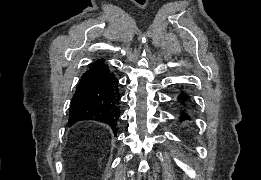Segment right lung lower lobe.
<instances>
[{
	"mask_svg": "<svg viewBox=\"0 0 261 180\" xmlns=\"http://www.w3.org/2000/svg\"><path fill=\"white\" fill-rule=\"evenodd\" d=\"M119 103L114 73L104 61L93 63L77 84L70 104L69 125L94 120L109 124L115 133L120 117Z\"/></svg>",
	"mask_w": 261,
	"mask_h": 180,
	"instance_id": "right-lung-lower-lobe-1",
	"label": "right lung lower lobe"
}]
</instances>
